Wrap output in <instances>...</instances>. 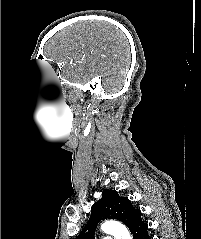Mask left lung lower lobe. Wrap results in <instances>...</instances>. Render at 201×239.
<instances>
[{
  "instance_id": "0a47b994",
  "label": "left lung lower lobe",
  "mask_w": 201,
  "mask_h": 239,
  "mask_svg": "<svg viewBox=\"0 0 201 239\" xmlns=\"http://www.w3.org/2000/svg\"><path fill=\"white\" fill-rule=\"evenodd\" d=\"M148 224L141 223L140 225L136 226L133 231L131 232L133 239H151L148 234Z\"/></svg>"
}]
</instances>
